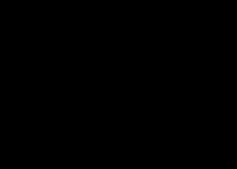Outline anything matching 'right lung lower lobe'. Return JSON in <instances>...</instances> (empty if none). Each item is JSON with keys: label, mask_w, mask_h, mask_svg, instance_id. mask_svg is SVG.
I'll use <instances>...</instances> for the list:
<instances>
[{"label": "right lung lower lobe", "mask_w": 237, "mask_h": 169, "mask_svg": "<svg viewBox=\"0 0 237 169\" xmlns=\"http://www.w3.org/2000/svg\"><path fill=\"white\" fill-rule=\"evenodd\" d=\"M118 99L93 92L80 106L52 124L55 133L69 146L87 148L96 144L113 117Z\"/></svg>", "instance_id": "obj_1"}]
</instances>
